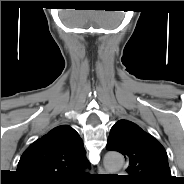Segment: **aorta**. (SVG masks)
Segmentation results:
<instances>
[{
    "instance_id": "762f6f07",
    "label": "aorta",
    "mask_w": 184,
    "mask_h": 184,
    "mask_svg": "<svg viewBox=\"0 0 184 184\" xmlns=\"http://www.w3.org/2000/svg\"><path fill=\"white\" fill-rule=\"evenodd\" d=\"M124 165V157L118 152H108L104 157V166L110 173L118 172Z\"/></svg>"
}]
</instances>
